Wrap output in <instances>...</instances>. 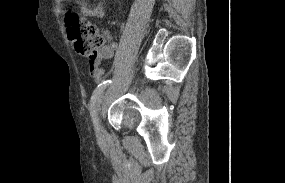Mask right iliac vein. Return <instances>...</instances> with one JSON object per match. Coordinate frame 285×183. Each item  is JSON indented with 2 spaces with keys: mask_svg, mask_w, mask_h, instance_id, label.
<instances>
[{
  "mask_svg": "<svg viewBox=\"0 0 285 183\" xmlns=\"http://www.w3.org/2000/svg\"><path fill=\"white\" fill-rule=\"evenodd\" d=\"M103 98H104V92L101 94L100 98H99V101H98V105H97V112L99 114V111H100V105L103 101ZM96 130H97V135L99 138H103L104 137V130H103V127L101 125V120L99 118V116H97L96 118Z\"/></svg>",
  "mask_w": 285,
  "mask_h": 183,
  "instance_id": "63e3f726",
  "label": "right iliac vein"
}]
</instances>
